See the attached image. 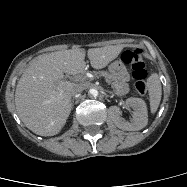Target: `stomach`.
<instances>
[{
	"label": "stomach",
	"instance_id": "obj_1",
	"mask_svg": "<svg viewBox=\"0 0 187 187\" xmlns=\"http://www.w3.org/2000/svg\"><path fill=\"white\" fill-rule=\"evenodd\" d=\"M108 70L111 76L119 81L125 82L130 79L126 66L121 60H117L110 64Z\"/></svg>",
	"mask_w": 187,
	"mask_h": 187
}]
</instances>
